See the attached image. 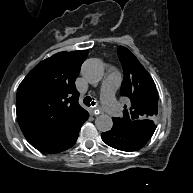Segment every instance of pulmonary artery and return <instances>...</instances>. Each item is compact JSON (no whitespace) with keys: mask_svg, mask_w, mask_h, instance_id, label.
<instances>
[{"mask_svg":"<svg viewBox=\"0 0 193 193\" xmlns=\"http://www.w3.org/2000/svg\"><path fill=\"white\" fill-rule=\"evenodd\" d=\"M121 78L116 68H112L107 73L102 83V99L106 110L112 114L114 109V94L120 84Z\"/></svg>","mask_w":193,"mask_h":193,"instance_id":"obj_1","label":"pulmonary artery"}]
</instances>
